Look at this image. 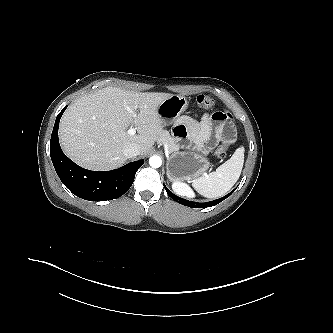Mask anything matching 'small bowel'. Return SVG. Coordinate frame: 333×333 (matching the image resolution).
Wrapping results in <instances>:
<instances>
[{
  "label": "small bowel",
  "instance_id": "small-bowel-1",
  "mask_svg": "<svg viewBox=\"0 0 333 333\" xmlns=\"http://www.w3.org/2000/svg\"><path fill=\"white\" fill-rule=\"evenodd\" d=\"M174 131L177 137L187 139L202 153L211 150L225 135L233 138V129L228 114L224 111L205 114L200 123L187 116L180 117Z\"/></svg>",
  "mask_w": 333,
  "mask_h": 333
}]
</instances>
